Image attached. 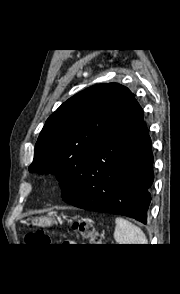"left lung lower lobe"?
<instances>
[{
	"label": "left lung lower lobe",
	"mask_w": 180,
	"mask_h": 294,
	"mask_svg": "<svg viewBox=\"0 0 180 294\" xmlns=\"http://www.w3.org/2000/svg\"><path fill=\"white\" fill-rule=\"evenodd\" d=\"M152 164L151 139L135 99L94 153L76 191L63 200L146 224L154 179Z\"/></svg>",
	"instance_id": "1"
}]
</instances>
